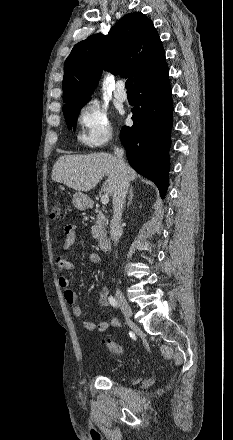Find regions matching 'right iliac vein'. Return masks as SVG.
Returning <instances> with one entry per match:
<instances>
[{
  "label": "right iliac vein",
  "instance_id": "obj_1",
  "mask_svg": "<svg viewBox=\"0 0 233 440\" xmlns=\"http://www.w3.org/2000/svg\"><path fill=\"white\" fill-rule=\"evenodd\" d=\"M116 298L123 314L128 318L131 317L132 309L129 303L127 302V300L125 299L123 293L119 289L116 290Z\"/></svg>",
  "mask_w": 233,
  "mask_h": 440
}]
</instances>
